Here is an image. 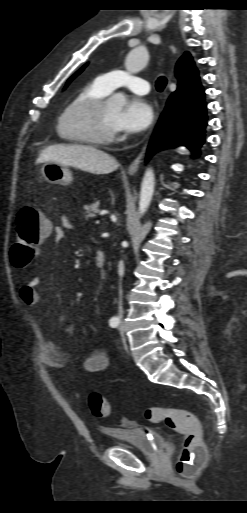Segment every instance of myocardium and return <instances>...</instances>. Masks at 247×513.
<instances>
[{"label":"myocardium","instance_id":"f54148a6","mask_svg":"<svg viewBox=\"0 0 247 513\" xmlns=\"http://www.w3.org/2000/svg\"><path fill=\"white\" fill-rule=\"evenodd\" d=\"M106 98H92L70 107L62 118L66 134L82 142L107 145L117 138V131H106L102 126V113L108 103Z\"/></svg>","mask_w":247,"mask_h":513}]
</instances>
